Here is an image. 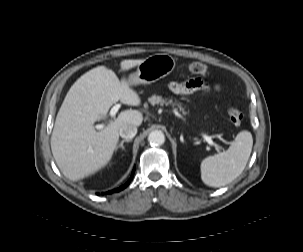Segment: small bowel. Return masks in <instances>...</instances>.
I'll list each match as a JSON object with an SVG mask.
<instances>
[{
    "mask_svg": "<svg viewBox=\"0 0 303 252\" xmlns=\"http://www.w3.org/2000/svg\"><path fill=\"white\" fill-rule=\"evenodd\" d=\"M205 83L201 79H191L187 81H172L169 83V90L176 95H190L201 89H204ZM219 90V87H216Z\"/></svg>",
    "mask_w": 303,
    "mask_h": 252,
    "instance_id": "1",
    "label": "small bowel"
}]
</instances>
